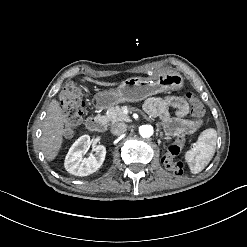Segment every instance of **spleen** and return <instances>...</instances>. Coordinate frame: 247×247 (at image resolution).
<instances>
[{
	"instance_id": "obj_1",
	"label": "spleen",
	"mask_w": 247,
	"mask_h": 247,
	"mask_svg": "<svg viewBox=\"0 0 247 247\" xmlns=\"http://www.w3.org/2000/svg\"><path fill=\"white\" fill-rule=\"evenodd\" d=\"M217 132L214 129H207L197 139V144L187 152L186 159L194 173L201 172L209 163L215 151ZM203 143V148L200 144Z\"/></svg>"
}]
</instances>
